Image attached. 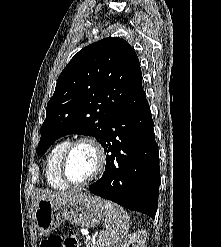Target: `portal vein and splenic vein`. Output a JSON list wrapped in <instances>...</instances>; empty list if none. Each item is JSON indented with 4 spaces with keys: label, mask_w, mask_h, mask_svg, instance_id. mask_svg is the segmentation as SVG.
Instances as JSON below:
<instances>
[{
    "label": "portal vein and splenic vein",
    "mask_w": 221,
    "mask_h": 247,
    "mask_svg": "<svg viewBox=\"0 0 221 247\" xmlns=\"http://www.w3.org/2000/svg\"><path fill=\"white\" fill-rule=\"evenodd\" d=\"M86 237H87V238H90V235H89V233H88V232L86 233Z\"/></svg>",
    "instance_id": "portal-vein-and-splenic-vein-1"
}]
</instances>
